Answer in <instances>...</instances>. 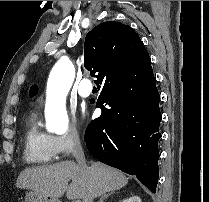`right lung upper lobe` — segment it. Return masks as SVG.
I'll use <instances>...</instances> for the list:
<instances>
[{
    "mask_svg": "<svg viewBox=\"0 0 209 202\" xmlns=\"http://www.w3.org/2000/svg\"><path fill=\"white\" fill-rule=\"evenodd\" d=\"M150 65L149 54L130 26L108 21L86 35L84 66L104 88H121L137 81Z\"/></svg>",
    "mask_w": 209,
    "mask_h": 202,
    "instance_id": "cb5924a9",
    "label": "right lung upper lobe"
}]
</instances>
